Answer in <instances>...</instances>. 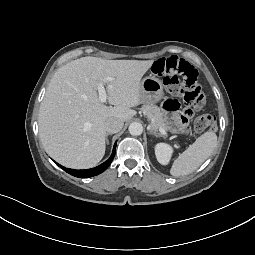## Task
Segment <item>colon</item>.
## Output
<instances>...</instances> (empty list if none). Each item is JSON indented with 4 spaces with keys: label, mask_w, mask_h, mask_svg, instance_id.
Segmentation results:
<instances>
[{
    "label": "colon",
    "mask_w": 255,
    "mask_h": 255,
    "mask_svg": "<svg viewBox=\"0 0 255 255\" xmlns=\"http://www.w3.org/2000/svg\"><path fill=\"white\" fill-rule=\"evenodd\" d=\"M154 74L164 77V84L169 93L181 95L185 103L184 116L190 117L193 110L205 103L196 69L184 59L176 56L161 58L152 67ZM215 125V116L211 113L199 115L194 121V130L201 133Z\"/></svg>",
    "instance_id": "obj_1"
}]
</instances>
